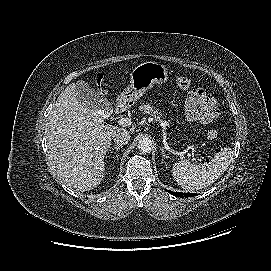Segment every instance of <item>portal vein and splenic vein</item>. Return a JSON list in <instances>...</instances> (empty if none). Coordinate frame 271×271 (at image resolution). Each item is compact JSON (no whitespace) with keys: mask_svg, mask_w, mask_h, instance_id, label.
Returning <instances> with one entry per match:
<instances>
[{"mask_svg":"<svg viewBox=\"0 0 271 271\" xmlns=\"http://www.w3.org/2000/svg\"><path fill=\"white\" fill-rule=\"evenodd\" d=\"M118 124L122 126H130L132 125V119L131 118H121L118 120ZM188 155H192L193 157H196L194 152L188 153ZM199 161H202V159L198 158Z\"/></svg>","mask_w":271,"mask_h":271,"instance_id":"portal-vein-and-splenic-vein-1","label":"portal vein and splenic vein"}]
</instances>
